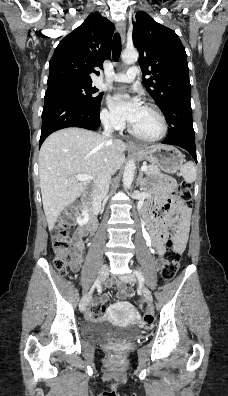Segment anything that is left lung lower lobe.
Here are the masks:
<instances>
[{
    "instance_id": "1",
    "label": "left lung lower lobe",
    "mask_w": 228,
    "mask_h": 396,
    "mask_svg": "<svg viewBox=\"0 0 228 396\" xmlns=\"http://www.w3.org/2000/svg\"><path fill=\"white\" fill-rule=\"evenodd\" d=\"M177 102L181 106L180 114H174V104ZM162 112L169 125V134L162 143L177 145L186 149L197 163L190 98H180L169 104Z\"/></svg>"
}]
</instances>
